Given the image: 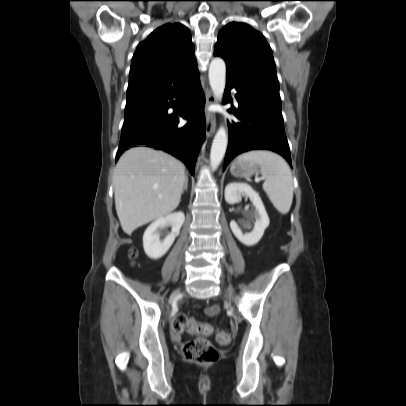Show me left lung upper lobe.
<instances>
[{
    "mask_svg": "<svg viewBox=\"0 0 406 406\" xmlns=\"http://www.w3.org/2000/svg\"><path fill=\"white\" fill-rule=\"evenodd\" d=\"M214 55L224 58L227 79L280 100L271 48L260 32L245 23L231 22L219 32Z\"/></svg>",
    "mask_w": 406,
    "mask_h": 406,
    "instance_id": "obj_1",
    "label": "left lung upper lobe"
}]
</instances>
